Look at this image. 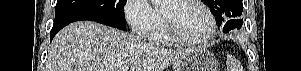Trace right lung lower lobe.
<instances>
[{"mask_svg":"<svg viewBox=\"0 0 301 71\" xmlns=\"http://www.w3.org/2000/svg\"><path fill=\"white\" fill-rule=\"evenodd\" d=\"M81 20L95 21L107 26L115 27L121 30H126V28L125 29L121 28L117 22L109 18H106L104 16L98 14H78L59 21H54L53 27L50 32V41L57 34V32L61 30L64 26L68 25L71 22L81 21Z\"/></svg>","mask_w":301,"mask_h":71,"instance_id":"1","label":"right lung lower lobe"}]
</instances>
